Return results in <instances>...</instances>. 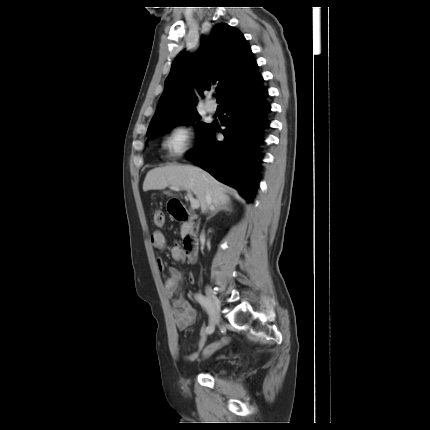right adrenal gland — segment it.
<instances>
[{
	"label": "right adrenal gland",
	"instance_id": "obj_1",
	"mask_svg": "<svg viewBox=\"0 0 430 430\" xmlns=\"http://www.w3.org/2000/svg\"><path fill=\"white\" fill-rule=\"evenodd\" d=\"M221 210L231 211V207L228 206V205H224V206L218 207L215 211L212 212L211 216H209L207 218V220H209L210 218H212L213 216H215Z\"/></svg>",
	"mask_w": 430,
	"mask_h": 430
}]
</instances>
